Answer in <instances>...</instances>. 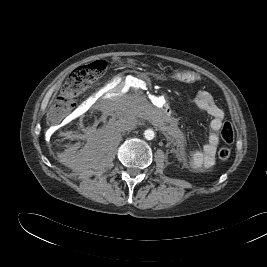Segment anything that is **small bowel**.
I'll list each match as a JSON object with an SVG mask.
<instances>
[{"mask_svg":"<svg viewBox=\"0 0 267 267\" xmlns=\"http://www.w3.org/2000/svg\"><path fill=\"white\" fill-rule=\"evenodd\" d=\"M194 103L211 116L208 142L202 149L195 150L188 156L182 154L181 157L192 169H210L215 164V154L220 141L218 133L222 127L225 113L216 103L213 95L204 89L196 93Z\"/></svg>","mask_w":267,"mask_h":267,"instance_id":"1","label":"small bowel"}]
</instances>
